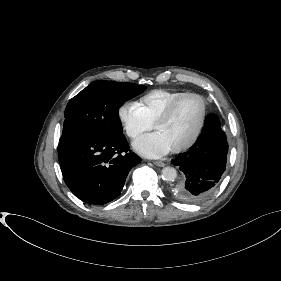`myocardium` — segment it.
<instances>
[{"label": "myocardium", "mask_w": 281, "mask_h": 281, "mask_svg": "<svg viewBox=\"0 0 281 281\" xmlns=\"http://www.w3.org/2000/svg\"><path fill=\"white\" fill-rule=\"evenodd\" d=\"M189 97L197 98L200 101V103H201V116H200V120H199L198 126H197L195 132L193 133L192 137L187 142H185L184 144H182V145H180V146H178L176 148H173L172 152H174V153H181V152H184V151L188 150L198 140V138H199V136H200V134H201V132L203 130V127H204V124H205V120H206V114H207V105H206V101L203 98V96H201L200 94H197V93H193V92H187V93L182 94L181 96H179V97L175 98L174 100H172L157 115L156 119L153 122V127H154V129H156V126L160 122H163L164 120H166L172 114L174 109L177 107V105L181 101H183L184 99L189 98Z\"/></svg>", "instance_id": "1"}]
</instances>
